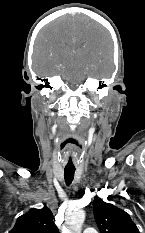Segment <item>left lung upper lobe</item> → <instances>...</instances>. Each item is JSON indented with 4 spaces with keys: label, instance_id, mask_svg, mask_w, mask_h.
Segmentation results:
<instances>
[{
    "label": "left lung upper lobe",
    "instance_id": "5c2ea615",
    "mask_svg": "<svg viewBox=\"0 0 145 233\" xmlns=\"http://www.w3.org/2000/svg\"><path fill=\"white\" fill-rule=\"evenodd\" d=\"M94 217L100 233H139L129 214L112 204L95 197Z\"/></svg>",
    "mask_w": 145,
    "mask_h": 233
}]
</instances>
